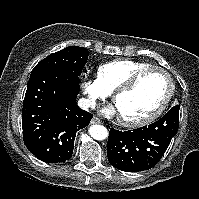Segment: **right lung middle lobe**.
<instances>
[{"mask_svg":"<svg viewBox=\"0 0 199 199\" xmlns=\"http://www.w3.org/2000/svg\"><path fill=\"white\" fill-rule=\"evenodd\" d=\"M88 59V50L79 46L66 47L41 60L31 74L39 71L62 70L79 79Z\"/></svg>","mask_w":199,"mask_h":199,"instance_id":"right-lung-middle-lobe-1","label":"right lung middle lobe"}]
</instances>
